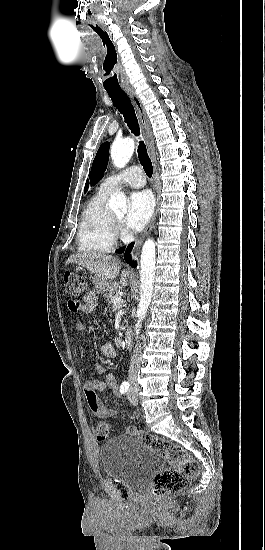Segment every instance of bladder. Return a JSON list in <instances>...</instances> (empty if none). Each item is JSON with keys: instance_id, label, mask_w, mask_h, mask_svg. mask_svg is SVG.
<instances>
[{"instance_id": "obj_1", "label": "bladder", "mask_w": 265, "mask_h": 550, "mask_svg": "<svg viewBox=\"0 0 265 550\" xmlns=\"http://www.w3.org/2000/svg\"><path fill=\"white\" fill-rule=\"evenodd\" d=\"M104 475L135 487L144 482L159 466V456L136 436L119 435L99 448Z\"/></svg>"}]
</instances>
